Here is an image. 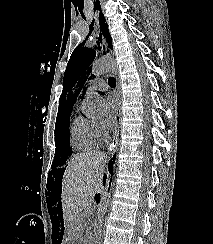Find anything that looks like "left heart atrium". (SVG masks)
I'll return each mask as SVG.
<instances>
[{
    "instance_id": "1",
    "label": "left heart atrium",
    "mask_w": 213,
    "mask_h": 244,
    "mask_svg": "<svg viewBox=\"0 0 213 244\" xmlns=\"http://www.w3.org/2000/svg\"><path fill=\"white\" fill-rule=\"evenodd\" d=\"M118 110L117 100L109 96L104 100V126L112 128L116 122Z\"/></svg>"
}]
</instances>
